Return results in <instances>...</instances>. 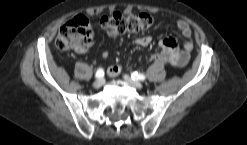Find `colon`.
<instances>
[{
    "mask_svg": "<svg viewBox=\"0 0 247 145\" xmlns=\"http://www.w3.org/2000/svg\"><path fill=\"white\" fill-rule=\"evenodd\" d=\"M153 25V18L147 13L129 14L113 13L100 21V26L110 32L125 33L147 30ZM94 32L88 19L77 15L60 28L56 46L60 50L82 49L93 40Z\"/></svg>",
    "mask_w": 247,
    "mask_h": 145,
    "instance_id": "obj_1",
    "label": "colon"
}]
</instances>
